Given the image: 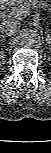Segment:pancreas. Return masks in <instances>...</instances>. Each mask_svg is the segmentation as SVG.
Masks as SVG:
<instances>
[{"instance_id":"1","label":"pancreas","mask_w":51,"mask_h":153,"mask_svg":"<svg viewBox=\"0 0 51 153\" xmlns=\"http://www.w3.org/2000/svg\"><path fill=\"white\" fill-rule=\"evenodd\" d=\"M49 4H47L43 0H28L24 4H21L17 7H14L11 12H18L20 10H27L28 13L33 9H38L40 7H48Z\"/></svg>"}]
</instances>
